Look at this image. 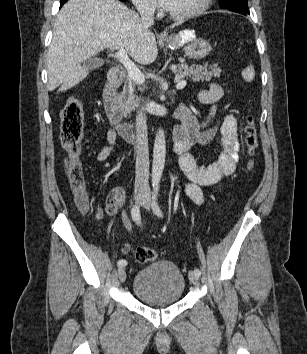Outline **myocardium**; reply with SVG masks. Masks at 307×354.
<instances>
[{
	"instance_id": "f54148a6",
	"label": "myocardium",
	"mask_w": 307,
	"mask_h": 354,
	"mask_svg": "<svg viewBox=\"0 0 307 354\" xmlns=\"http://www.w3.org/2000/svg\"><path fill=\"white\" fill-rule=\"evenodd\" d=\"M211 1L212 0H200L194 8L187 12L181 14L169 12L168 14L174 20H187L202 14L205 10L208 9Z\"/></svg>"
}]
</instances>
